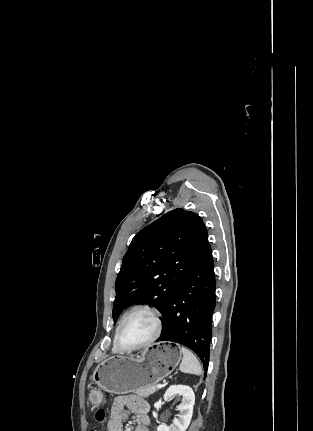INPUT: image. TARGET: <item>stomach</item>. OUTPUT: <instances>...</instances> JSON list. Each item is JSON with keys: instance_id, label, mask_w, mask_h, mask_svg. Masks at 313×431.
I'll list each match as a JSON object with an SVG mask.
<instances>
[{"instance_id": "stomach-1", "label": "stomach", "mask_w": 313, "mask_h": 431, "mask_svg": "<svg viewBox=\"0 0 313 431\" xmlns=\"http://www.w3.org/2000/svg\"><path fill=\"white\" fill-rule=\"evenodd\" d=\"M181 360V352L173 344L156 343L137 356H111L95 369L92 379L98 389L91 390L94 406L103 401L101 390L113 394L135 392L155 385L169 376Z\"/></svg>"}]
</instances>
